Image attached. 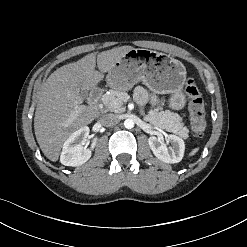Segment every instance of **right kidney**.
<instances>
[{
	"label": "right kidney",
	"instance_id": "obj_1",
	"mask_svg": "<svg viewBox=\"0 0 247 247\" xmlns=\"http://www.w3.org/2000/svg\"><path fill=\"white\" fill-rule=\"evenodd\" d=\"M89 127L85 126L72 133L65 143L63 144V150L60 156V162L65 166L76 167L87 162L92 154V150L96 146V140L94 139L91 144V148H85L83 146L89 135Z\"/></svg>",
	"mask_w": 247,
	"mask_h": 247
}]
</instances>
